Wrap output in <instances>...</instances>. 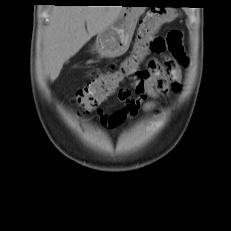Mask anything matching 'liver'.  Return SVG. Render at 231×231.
<instances>
[{
  "label": "liver",
  "mask_w": 231,
  "mask_h": 231,
  "mask_svg": "<svg viewBox=\"0 0 231 231\" xmlns=\"http://www.w3.org/2000/svg\"><path fill=\"white\" fill-rule=\"evenodd\" d=\"M122 6H54L43 37L42 60L51 81L64 62L119 16ZM87 25V30L85 28Z\"/></svg>",
  "instance_id": "1"
}]
</instances>
